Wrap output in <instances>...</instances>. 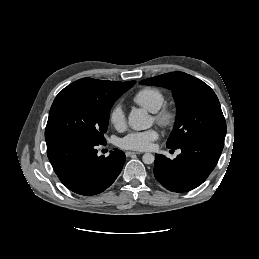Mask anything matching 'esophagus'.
Returning <instances> with one entry per match:
<instances>
[{
	"instance_id": "esophagus-1",
	"label": "esophagus",
	"mask_w": 259,
	"mask_h": 259,
	"mask_svg": "<svg viewBox=\"0 0 259 259\" xmlns=\"http://www.w3.org/2000/svg\"><path fill=\"white\" fill-rule=\"evenodd\" d=\"M125 154H126L127 157H131V156H134V155H139L141 153L140 152L127 151Z\"/></svg>"
}]
</instances>
